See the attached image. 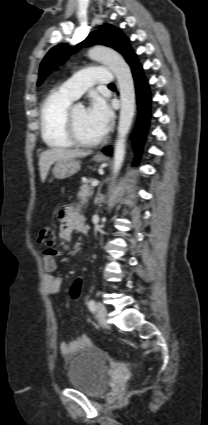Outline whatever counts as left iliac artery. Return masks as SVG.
<instances>
[{"label":"left iliac artery","instance_id":"left-iliac-artery-1","mask_svg":"<svg viewBox=\"0 0 208 425\" xmlns=\"http://www.w3.org/2000/svg\"><path fill=\"white\" fill-rule=\"evenodd\" d=\"M88 308L90 309L91 312H95L96 310V303L94 300H90L88 302Z\"/></svg>","mask_w":208,"mask_h":425}]
</instances>
